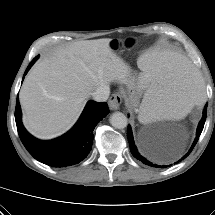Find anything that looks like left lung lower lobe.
I'll use <instances>...</instances> for the list:
<instances>
[{
  "label": "left lung lower lobe",
  "mask_w": 215,
  "mask_h": 215,
  "mask_svg": "<svg viewBox=\"0 0 215 215\" xmlns=\"http://www.w3.org/2000/svg\"><path fill=\"white\" fill-rule=\"evenodd\" d=\"M206 115H207V104L204 107L203 117H202L201 121L199 122V125H198V128H197V134H196V138L194 140V143L192 144V147L189 150V152L182 159L186 158L190 154V152L193 150L194 146L196 145V143H197V141L199 139V136H200V134H201V132L203 130L205 120H206ZM127 137H128V141H129V145H130V151H131L132 155L136 159H138L139 161L143 162L144 164L152 166V167H158V168L167 167L165 165L160 166V165L154 164L153 162L149 161L142 154L139 153V151L136 148V145L134 144V139H133L132 130H131L130 125L128 126ZM180 161L181 160H179L178 162H180ZM169 166H171V165H169Z\"/></svg>",
  "instance_id": "0a47b994"
}]
</instances>
